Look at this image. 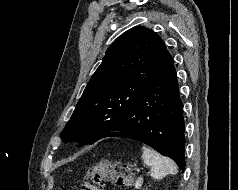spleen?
Listing matches in <instances>:
<instances>
[{"mask_svg":"<svg viewBox=\"0 0 238 190\" xmlns=\"http://www.w3.org/2000/svg\"><path fill=\"white\" fill-rule=\"evenodd\" d=\"M144 164L151 168V176L153 179H162L168 174H177V166L168 157H164L146 146L142 147Z\"/></svg>","mask_w":238,"mask_h":190,"instance_id":"3e777b00","label":"spleen"}]
</instances>
